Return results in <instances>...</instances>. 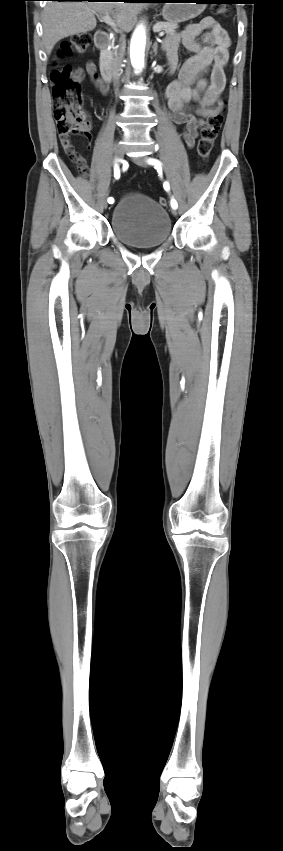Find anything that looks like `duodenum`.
<instances>
[{
    "mask_svg": "<svg viewBox=\"0 0 283 851\" xmlns=\"http://www.w3.org/2000/svg\"><path fill=\"white\" fill-rule=\"evenodd\" d=\"M110 44V36L106 32H99L95 36V45L101 51V76L110 84L113 81V76L111 72V68L108 66L106 60V50Z\"/></svg>",
    "mask_w": 283,
    "mask_h": 851,
    "instance_id": "1",
    "label": "duodenum"
}]
</instances>
